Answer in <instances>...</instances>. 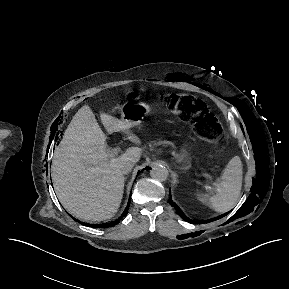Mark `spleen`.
Returning a JSON list of instances; mask_svg holds the SVG:
<instances>
[{
  "label": "spleen",
  "mask_w": 289,
  "mask_h": 289,
  "mask_svg": "<svg viewBox=\"0 0 289 289\" xmlns=\"http://www.w3.org/2000/svg\"><path fill=\"white\" fill-rule=\"evenodd\" d=\"M243 170L239 156H234L218 179L212 196L202 194L200 200L218 213L231 210L238 201L242 189Z\"/></svg>",
  "instance_id": "spleen-1"
}]
</instances>
